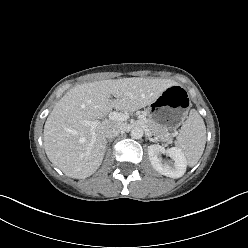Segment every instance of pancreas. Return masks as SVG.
Instances as JSON below:
<instances>
[{"mask_svg": "<svg viewBox=\"0 0 248 248\" xmlns=\"http://www.w3.org/2000/svg\"><path fill=\"white\" fill-rule=\"evenodd\" d=\"M145 123L152 135H154L156 138L162 141H170L172 139V135L169 133L166 127L159 125L151 119H147Z\"/></svg>", "mask_w": 248, "mask_h": 248, "instance_id": "obj_1", "label": "pancreas"}]
</instances>
